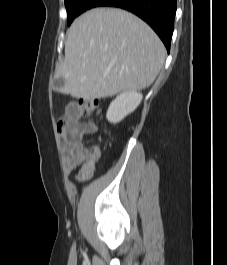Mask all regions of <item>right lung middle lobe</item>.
<instances>
[{"mask_svg":"<svg viewBox=\"0 0 227 265\" xmlns=\"http://www.w3.org/2000/svg\"><path fill=\"white\" fill-rule=\"evenodd\" d=\"M94 1L95 0H65L68 25L71 24L75 17L89 9Z\"/></svg>","mask_w":227,"mask_h":265,"instance_id":"obj_1","label":"right lung middle lobe"}]
</instances>
